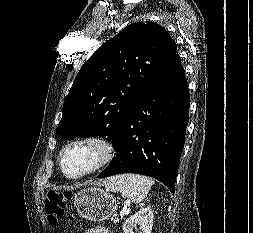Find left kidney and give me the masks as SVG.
<instances>
[{
    "label": "left kidney",
    "instance_id": "obj_1",
    "mask_svg": "<svg viewBox=\"0 0 253 233\" xmlns=\"http://www.w3.org/2000/svg\"><path fill=\"white\" fill-rule=\"evenodd\" d=\"M153 211L145 207L130 216L123 224L124 233H134L133 229L139 226V233H151L153 226Z\"/></svg>",
    "mask_w": 253,
    "mask_h": 233
}]
</instances>
